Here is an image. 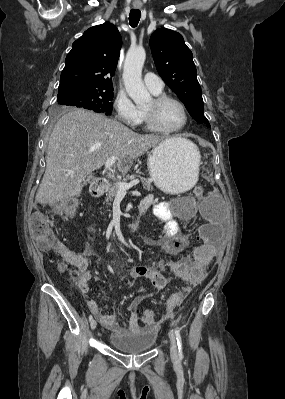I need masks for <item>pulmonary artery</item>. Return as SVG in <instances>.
Wrapping results in <instances>:
<instances>
[{
	"instance_id": "obj_1",
	"label": "pulmonary artery",
	"mask_w": 285,
	"mask_h": 399,
	"mask_svg": "<svg viewBox=\"0 0 285 399\" xmlns=\"http://www.w3.org/2000/svg\"><path fill=\"white\" fill-rule=\"evenodd\" d=\"M144 82L147 86V88L152 92V93H157L162 91L164 84L162 79L155 75L154 73L148 72L144 76Z\"/></svg>"
}]
</instances>
